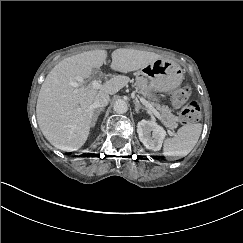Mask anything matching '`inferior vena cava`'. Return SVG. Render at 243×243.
I'll return each instance as SVG.
<instances>
[{"label":"inferior vena cava","mask_w":243,"mask_h":243,"mask_svg":"<svg viewBox=\"0 0 243 243\" xmlns=\"http://www.w3.org/2000/svg\"><path fill=\"white\" fill-rule=\"evenodd\" d=\"M110 97L108 94L99 93L95 97L94 107H104L109 103Z\"/></svg>","instance_id":"1"}]
</instances>
